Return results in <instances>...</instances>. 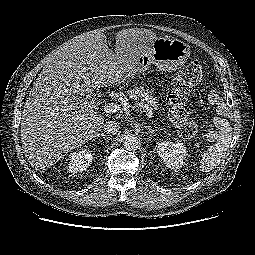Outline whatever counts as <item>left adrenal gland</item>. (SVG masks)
<instances>
[{
    "instance_id": "left-adrenal-gland-1",
    "label": "left adrenal gland",
    "mask_w": 255,
    "mask_h": 255,
    "mask_svg": "<svg viewBox=\"0 0 255 255\" xmlns=\"http://www.w3.org/2000/svg\"><path fill=\"white\" fill-rule=\"evenodd\" d=\"M146 128L148 129V131H149L150 135L154 134V133H155V131L160 130L159 128L152 130V129L150 128V126H148V127H146Z\"/></svg>"
}]
</instances>
